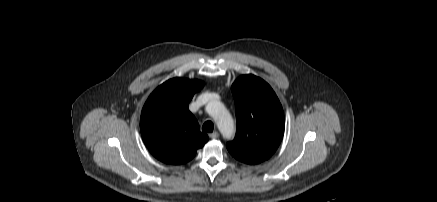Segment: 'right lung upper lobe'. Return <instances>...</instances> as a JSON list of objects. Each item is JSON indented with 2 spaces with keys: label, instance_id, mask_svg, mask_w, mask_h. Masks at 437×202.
I'll list each match as a JSON object with an SVG mask.
<instances>
[{
  "label": "right lung upper lobe",
  "instance_id": "1",
  "mask_svg": "<svg viewBox=\"0 0 437 202\" xmlns=\"http://www.w3.org/2000/svg\"><path fill=\"white\" fill-rule=\"evenodd\" d=\"M203 86L200 80L173 78L158 86L147 99L140 118L141 135L148 150L161 162L186 163L208 141L188 108Z\"/></svg>",
  "mask_w": 437,
  "mask_h": 202
}]
</instances>
